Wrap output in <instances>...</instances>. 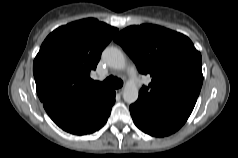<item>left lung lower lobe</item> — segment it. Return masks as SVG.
Instances as JSON below:
<instances>
[{
  "label": "left lung lower lobe",
  "mask_w": 238,
  "mask_h": 158,
  "mask_svg": "<svg viewBox=\"0 0 238 158\" xmlns=\"http://www.w3.org/2000/svg\"><path fill=\"white\" fill-rule=\"evenodd\" d=\"M197 97L185 96L166 101H152L139 96L130 106L135 125L143 132L156 137L176 132L190 116Z\"/></svg>",
  "instance_id": "left-lung-lower-lobe-1"
}]
</instances>
